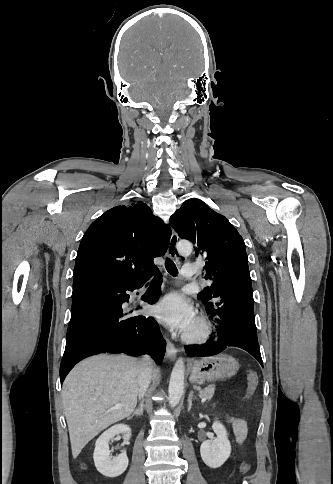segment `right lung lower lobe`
Returning <instances> with one entry per match:
<instances>
[{
    "label": "right lung lower lobe",
    "mask_w": 333,
    "mask_h": 484,
    "mask_svg": "<svg viewBox=\"0 0 333 484\" xmlns=\"http://www.w3.org/2000/svg\"><path fill=\"white\" fill-rule=\"evenodd\" d=\"M155 271L157 268L131 285L91 282L73 286L71 320L60 366L61 384L77 362L99 353L133 356L148 353L156 363L163 359L166 343L154 318L133 316L134 310L122 308L129 299L127 291L142 287ZM161 282L162 276L158 273L142 299L155 303L161 293Z\"/></svg>",
    "instance_id": "obj_1"
}]
</instances>
